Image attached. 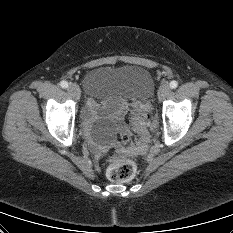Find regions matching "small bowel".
Instances as JSON below:
<instances>
[{"label":"small bowel","instance_id":"1","mask_svg":"<svg viewBox=\"0 0 233 233\" xmlns=\"http://www.w3.org/2000/svg\"><path fill=\"white\" fill-rule=\"evenodd\" d=\"M95 108H96V104L94 102L91 101L88 103V105H87L88 111H93V110H95Z\"/></svg>","mask_w":233,"mask_h":233}]
</instances>
